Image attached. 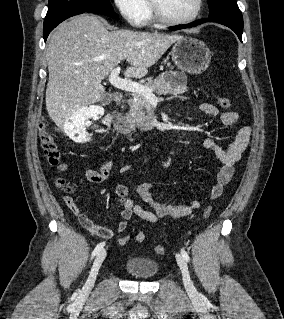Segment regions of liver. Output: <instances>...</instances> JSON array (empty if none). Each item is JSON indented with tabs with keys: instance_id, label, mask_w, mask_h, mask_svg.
<instances>
[{
	"instance_id": "6515ba94",
	"label": "liver",
	"mask_w": 284,
	"mask_h": 319,
	"mask_svg": "<svg viewBox=\"0 0 284 319\" xmlns=\"http://www.w3.org/2000/svg\"><path fill=\"white\" fill-rule=\"evenodd\" d=\"M182 36L108 31L99 17L82 14L61 23L48 40L49 80L46 109L62 127L80 108L103 99L101 81L126 59L125 77L142 78L167 49Z\"/></svg>"
}]
</instances>
